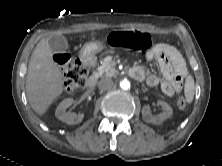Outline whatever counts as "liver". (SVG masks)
I'll list each match as a JSON object with an SVG mask.
<instances>
[{"mask_svg": "<svg viewBox=\"0 0 222 166\" xmlns=\"http://www.w3.org/2000/svg\"><path fill=\"white\" fill-rule=\"evenodd\" d=\"M64 89V79L52 59L49 41L43 38L34 49L26 78V95L31 108L39 115L45 114Z\"/></svg>", "mask_w": 222, "mask_h": 166, "instance_id": "6515ba94", "label": "liver"}]
</instances>
